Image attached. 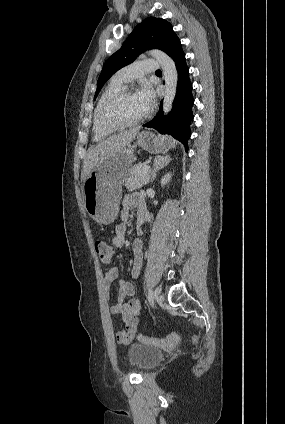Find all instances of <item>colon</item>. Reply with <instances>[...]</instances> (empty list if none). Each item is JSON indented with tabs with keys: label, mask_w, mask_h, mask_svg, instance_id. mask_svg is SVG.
<instances>
[{
	"label": "colon",
	"mask_w": 285,
	"mask_h": 424,
	"mask_svg": "<svg viewBox=\"0 0 285 424\" xmlns=\"http://www.w3.org/2000/svg\"><path fill=\"white\" fill-rule=\"evenodd\" d=\"M95 249L98 254L99 260L102 264L111 263L115 254V250L112 246L108 245L107 243L103 241H97L95 244ZM138 339L146 343H153V344L168 346V345L177 344L180 341L181 337L179 333H172L163 339L148 337V336H144L140 334L138 336Z\"/></svg>",
	"instance_id": "1"
}]
</instances>
